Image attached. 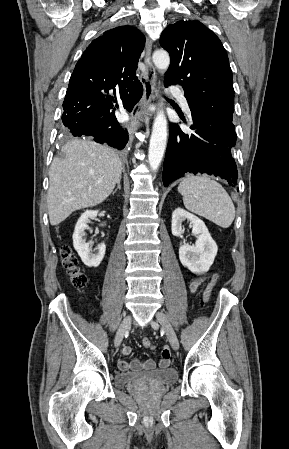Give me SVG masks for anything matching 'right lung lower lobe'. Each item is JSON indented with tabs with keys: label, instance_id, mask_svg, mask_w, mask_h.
<instances>
[{
	"label": "right lung lower lobe",
	"instance_id": "1",
	"mask_svg": "<svg viewBox=\"0 0 289 449\" xmlns=\"http://www.w3.org/2000/svg\"><path fill=\"white\" fill-rule=\"evenodd\" d=\"M118 87L123 106L131 112L143 94V87L136 78L118 85L109 82L78 80L71 76L63 102L62 122L67 136H93L98 143H107L123 149L128 142L127 130L115 117L110 89ZM114 102H117L116 100Z\"/></svg>",
	"mask_w": 289,
	"mask_h": 449
}]
</instances>
